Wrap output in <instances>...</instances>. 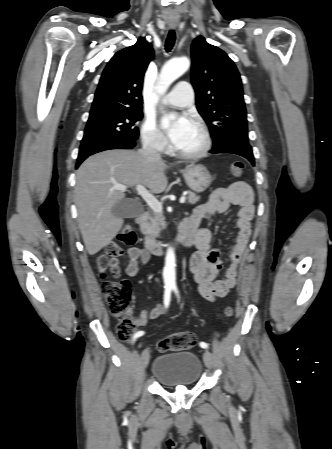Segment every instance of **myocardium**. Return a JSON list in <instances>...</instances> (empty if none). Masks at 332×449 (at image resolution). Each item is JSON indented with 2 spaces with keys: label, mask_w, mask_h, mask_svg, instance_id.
I'll use <instances>...</instances> for the list:
<instances>
[{
  "label": "myocardium",
  "mask_w": 332,
  "mask_h": 449,
  "mask_svg": "<svg viewBox=\"0 0 332 449\" xmlns=\"http://www.w3.org/2000/svg\"><path fill=\"white\" fill-rule=\"evenodd\" d=\"M193 124L197 126L202 134V145L194 151H182L175 147V153L185 159H198L204 157L210 151L212 146V137L208 127L199 119L194 120Z\"/></svg>",
  "instance_id": "obj_1"
}]
</instances>
